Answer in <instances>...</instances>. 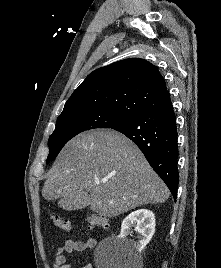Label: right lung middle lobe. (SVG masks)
<instances>
[{"instance_id": "obj_1", "label": "right lung middle lobe", "mask_w": 221, "mask_h": 268, "mask_svg": "<svg viewBox=\"0 0 221 268\" xmlns=\"http://www.w3.org/2000/svg\"><path fill=\"white\" fill-rule=\"evenodd\" d=\"M129 119L106 109H89L61 113L49 138L50 153L46 163L54 159L62 147L77 134L95 128H112Z\"/></svg>"}]
</instances>
